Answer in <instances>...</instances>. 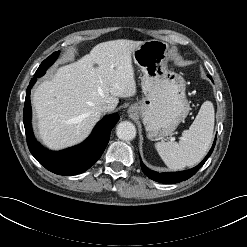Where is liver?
<instances>
[{
    "instance_id": "obj_1",
    "label": "liver",
    "mask_w": 247,
    "mask_h": 247,
    "mask_svg": "<svg viewBox=\"0 0 247 247\" xmlns=\"http://www.w3.org/2000/svg\"><path fill=\"white\" fill-rule=\"evenodd\" d=\"M142 43L126 39L99 43L36 88L37 128L48 148L59 150L82 142L100 120L101 105L110 104L114 110L118 98L136 94L132 53Z\"/></svg>"
}]
</instances>
